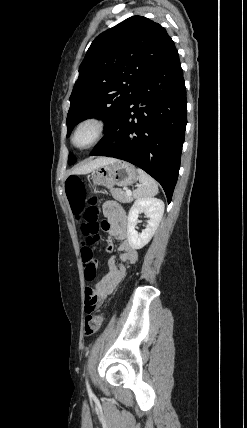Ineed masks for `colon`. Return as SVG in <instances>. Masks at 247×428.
Segmentation results:
<instances>
[{
    "label": "colon",
    "mask_w": 247,
    "mask_h": 428,
    "mask_svg": "<svg viewBox=\"0 0 247 428\" xmlns=\"http://www.w3.org/2000/svg\"><path fill=\"white\" fill-rule=\"evenodd\" d=\"M66 194L73 213L80 221V229L85 237L82 247V261L84 266L85 280L92 282L97 276V259L95 256V246L99 241L97 198L90 196L85 183L78 177H69L66 181ZM101 227L106 228L102 223ZM84 333L92 336L98 332L103 324L104 315L96 314V310L101 308V303L95 298H88L85 301Z\"/></svg>",
    "instance_id": "5ec220e1"
}]
</instances>
